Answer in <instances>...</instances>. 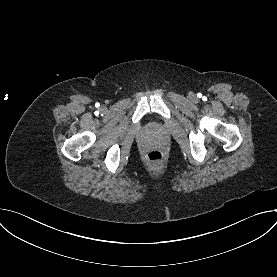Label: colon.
I'll return each mask as SVG.
<instances>
[{
	"label": "colon",
	"mask_w": 277,
	"mask_h": 277,
	"mask_svg": "<svg viewBox=\"0 0 277 277\" xmlns=\"http://www.w3.org/2000/svg\"><path fill=\"white\" fill-rule=\"evenodd\" d=\"M163 154L159 150H152L147 154V159L153 163V164H158L162 161Z\"/></svg>",
	"instance_id": "colon-1"
}]
</instances>
